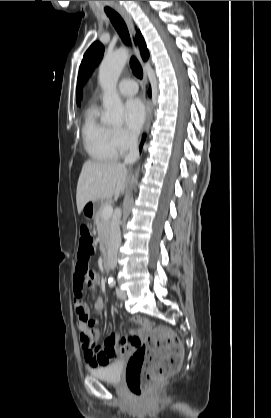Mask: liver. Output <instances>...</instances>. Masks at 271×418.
<instances>
[{
	"mask_svg": "<svg viewBox=\"0 0 271 418\" xmlns=\"http://www.w3.org/2000/svg\"><path fill=\"white\" fill-rule=\"evenodd\" d=\"M128 171L119 162L86 161L83 164L76 193L80 214L89 201L118 198L123 192Z\"/></svg>",
	"mask_w": 271,
	"mask_h": 418,
	"instance_id": "obj_1",
	"label": "liver"
}]
</instances>
